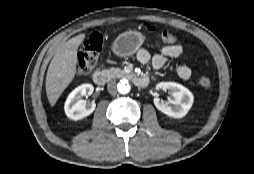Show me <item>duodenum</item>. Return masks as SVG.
Wrapping results in <instances>:
<instances>
[{
    "mask_svg": "<svg viewBox=\"0 0 254 174\" xmlns=\"http://www.w3.org/2000/svg\"><path fill=\"white\" fill-rule=\"evenodd\" d=\"M92 79L95 84L99 86H103L108 81V75L101 70H97L93 73ZM132 81L137 87H140V88L146 87L149 83V79L145 76H134L132 78Z\"/></svg>",
    "mask_w": 254,
    "mask_h": 174,
    "instance_id": "410a0bca",
    "label": "duodenum"
}]
</instances>
